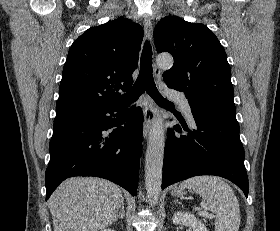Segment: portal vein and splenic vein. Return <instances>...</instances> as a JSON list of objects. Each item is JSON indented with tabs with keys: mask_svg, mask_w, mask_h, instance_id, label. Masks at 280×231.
Masks as SVG:
<instances>
[{
	"mask_svg": "<svg viewBox=\"0 0 280 231\" xmlns=\"http://www.w3.org/2000/svg\"><path fill=\"white\" fill-rule=\"evenodd\" d=\"M200 215H203V217H214L212 213H208L207 207L205 209H202V211H199Z\"/></svg>",
	"mask_w": 280,
	"mask_h": 231,
	"instance_id": "18ae733b",
	"label": "portal vein and splenic vein"
}]
</instances>
